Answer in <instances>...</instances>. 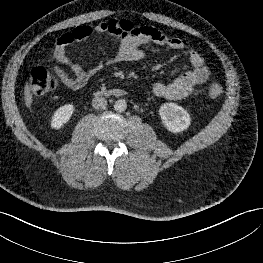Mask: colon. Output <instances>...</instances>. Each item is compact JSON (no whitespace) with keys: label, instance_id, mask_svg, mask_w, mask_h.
<instances>
[{"label":"colon","instance_id":"colon-1","mask_svg":"<svg viewBox=\"0 0 263 263\" xmlns=\"http://www.w3.org/2000/svg\"><path fill=\"white\" fill-rule=\"evenodd\" d=\"M57 86V79L45 68L34 67L29 78V87L33 94L44 95L51 92ZM224 92L218 83H212L208 87V95L212 99H218Z\"/></svg>","mask_w":263,"mask_h":263}]
</instances>
